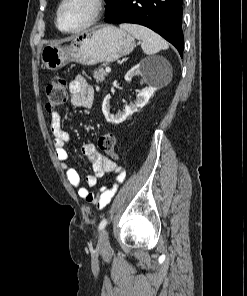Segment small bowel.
Listing matches in <instances>:
<instances>
[{
	"label": "small bowel",
	"mask_w": 247,
	"mask_h": 296,
	"mask_svg": "<svg viewBox=\"0 0 247 296\" xmlns=\"http://www.w3.org/2000/svg\"><path fill=\"white\" fill-rule=\"evenodd\" d=\"M68 91L70 93V103L74 107L90 108L94 101V88L83 76H76L69 82ZM51 132L54 136L53 147L60 167L64 170L67 181L73 187L77 188L79 197L85 199L88 203L102 210L114 197L122 179L123 170L117 164L101 154L93 143H85L82 146L83 155L88 158L92 164L93 173L86 177L88 187L80 186V176L76 169L68 164V153L66 144L70 140L69 133L63 128L61 115L54 112L50 122ZM115 173L117 176L111 182L110 187L102 186L96 193L89 188L96 187L98 180L107 174Z\"/></svg>",
	"instance_id": "small-bowel-1"
}]
</instances>
